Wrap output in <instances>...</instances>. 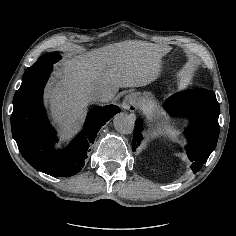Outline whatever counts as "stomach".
Listing matches in <instances>:
<instances>
[{
    "mask_svg": "<svg viewBox=\"0 0 236 236\" xmlns=\"http://www.w3.org/2000/svg\"><path fill=\"white\" fill-rule=\"evenodd\" d=\"M143 102L145 104H150L151 103V99H150L149 95H147V94L144 95Z\"/></svg>",
    "mask_w": 236,
    "mask_h": 236,
    "instance_id": "obj_1",
    "label": "stomach"
}]
</instances>
